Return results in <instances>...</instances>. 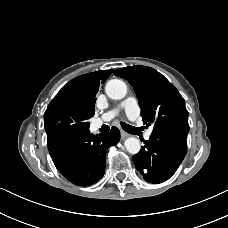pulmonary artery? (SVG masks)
<instances>
[{
  "label": "pulmonary artery",
  "instance_id": "pulmonary-artery-1",
  "mask_svg": "<svg viewBox=\"0 0 228 228\" xmlns=\"http://www.w3.org/2000/svg\"><path fill=\"white\" fill-rule=\"evenodd\" d=\"M120 108H123L125 110L126 115L130 120H136L140 114V108H139L137 99L135 97H128L124 101H122L117 108L112 109L106 112L105 114H103L102 120L106 121V120L112 119L118 114ZM151 134H152V130H148L144 134V139L149 140L151 137Z\"/></svg>",
  "mask_w": 228,
  "mask_h": 228
}]
</instances>
